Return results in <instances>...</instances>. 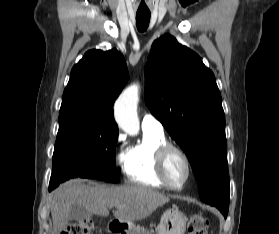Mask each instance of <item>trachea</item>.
Wrapping results in <instances>:
<instances>
[{
  "mask_svg": "<svg viewBox=\"0 0 279 234\" xmlns=\"http://www.w3.org/2000/svg\"><path fill=\"white\" fill-rule=\"evenodd\" d=\"M150 12H137L136 13V25L140 32L146 31L150 22Z\"/></svg>",
  "mask_w": 279,
  "mask_h": 234,
  "instance_id": "obj_1",
  "label": "trachea"
}]
</instances>
